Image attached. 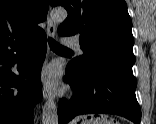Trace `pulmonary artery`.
I'll return each mask as SVG.
<instances>
[{"mask_svg":"<svg viewBox=\"0 0 156 124\" xmlns=\"http://www.w3.org/2000/svg\"><path fill=\"white\" fill-rule=\"evenodd\" d=\"M64 45L74 48L78 53H82V49L80 48L76 38H67V39H65L64 40Z\"/></svg>","mask_w":156,"mask_h":124,"instance_id":"pulmonary-artery-1","label":"pulmonary artery"}]
</instances>
